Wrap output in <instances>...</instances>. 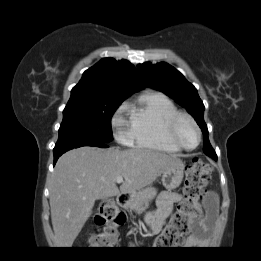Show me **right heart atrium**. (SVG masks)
Wrapping results in <instances>:
<instances>
[{
  "mask_svg": "<svg viewBox=\"0 0 261 261\" xmlns=\"http://www.w3.org/2000/svg\"><path fill=\"white\" fill-rule=\"evenodd\" d=\"M125 124V120L121 116H117L114 120V125L117 128V139L121 142L127 143L129 142L128 134L123 130V125Z\"/></svg>",
  "mask_w": 261,
  "mask_h": 261,
  "instance_id": "d8ad5b80",
  "label": "right heart atrium"
}]
</instances>
